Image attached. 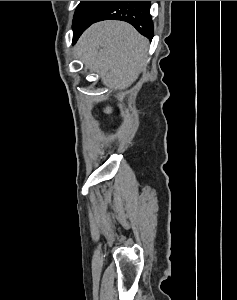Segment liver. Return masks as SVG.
Masks as SVG:
<instances>
[{
	"label": "liver",
	"instance_id": "obj_1",
	"mask_svg": "<svg viewBox=\"0 0 237 300\" xmlns=\"http://www.w3.org/2000/svg\"><path fill=\"white\" fill-rule=\"evenodd\" d=\"M148 39L123 21L91 25L76 47L87 69L99 71L103 85L127 89L148 63Z\"/></svg>",
	"mask_w": 237,
	"mask_h": 300
}]
</instances>
